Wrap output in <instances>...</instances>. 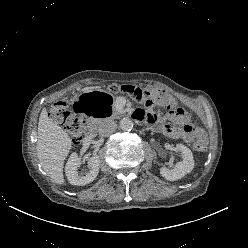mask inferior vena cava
<instances>
[{"instance_id":"inferior-vena-cava-1","label":"inferior vena cava","mask_w":248,"mask_h":248,"mask_svg":"<svg viewBox=\"0 0 248 248\" xmlns=\"http://www.w3.org/2000/svg\"><path fill=\"white\" fill-rule=\"evenodd\" d=\"M116 128H117V124L112 120H108L102 123L98 131L101 136L107 137L112 133H114Z\"/></svg>"}]
</instances>
